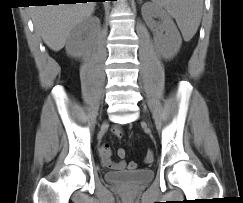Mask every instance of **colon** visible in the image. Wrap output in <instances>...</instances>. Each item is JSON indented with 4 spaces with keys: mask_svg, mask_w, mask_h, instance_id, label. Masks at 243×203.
<instances>
[{
    "mask_svg": "<svg viewBox=\"0 0 243 203\" xmlns=\"http://www.w3.org/2000/svg\"><path fill=\"white\" fill-rule=\"evenodd\" d=\"M119 154H120L121 156H125L126 152H125L124 149H120V150H119ZM144 160H145V162H147V163H151V162H153V160H154V154H153V152H152V151H148V152L146 153V155H145ZM135 168H136V163H134V162L129 163V169L133 170V169H135Z\"/></svg>",
    "mask_w": 243,
    "mask_h": 203,
    "instance_id": "colon-1",
    "label": "colon"
}]
</instances>
